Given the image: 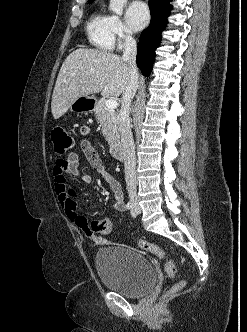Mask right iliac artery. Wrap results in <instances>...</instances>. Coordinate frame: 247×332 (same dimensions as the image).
Segmentation results:
<instances>
[{
	"label": "right iliac artery",
	"instance_id": "right-iliac-artery-1",
	"mask_svg": "<svg viewBox=\"0 0 247 332\" xmlns=\"http://www.w3.org/2000/svg\"><path fill=\"white\" fill-rule=\"evenodd\" d=\"M126 208L131 210L133 208V203L131 201H129L127 204H126Z\"/></svg>",
	"mask_w": 247,
	"mask_h": 332
}]
</instances>
